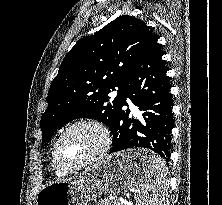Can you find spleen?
I'll return each instance as SVG.
<instances>
[{
  "mask_svg": "<svg viewBox=\"0 0 222 205\" xmlns=\"http://www.w3.org/2000/svg\"><path fill=\"white\" fill-rule=\"evenodd\" d=\"M146 169L140 188L135 193L137 205H165L168 168L156 154L144 157Z\"/></svg>",
  "mask_w": 222,
  "mask_h": 205,
  "instance_id": "spleen-1",
  "label": "spleen"
}]
</instances>
